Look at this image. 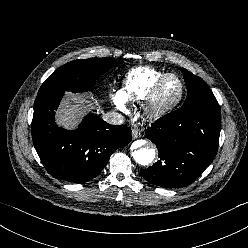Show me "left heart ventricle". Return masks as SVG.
<instances>
[{
    "instance_id": "left-heart-ventricle-1",
    "label": "left heart ventricle",
    "mask_w": 248,
    "mask_h": 248,
    "mask_svg": "<svg viewBox=\"0 0 248 248\" xmlns=\"http://www.w3.org/2000/svg\"><path fill=\"white\" fill-rule=\"evenodd\" d=\"M180 90L179 82L176 78H169L163 84L160 91V98L163 101H169L174 99Z\"/></svg>"
}]
</instances>
